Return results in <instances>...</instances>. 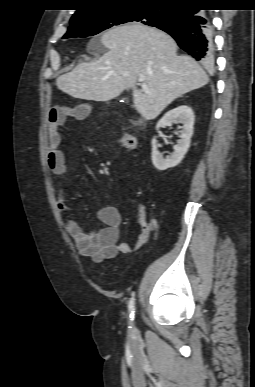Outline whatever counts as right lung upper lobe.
Wrapping results in <instances>:
<instances>
[{"label":"right lung upper lobe","mask_w":255,"mask_h":387,"mask_svg":"<svg viewBox=\"0 0 255 387\" xmlns=\"http://www.w3.org/2000/svg\"><path fill=\"white\" fill-rule=\"evenodd\" d=\"M199 0H79V9L73 14L71 21L84 18L115 7L122 6H163L177 7L198 3Z\"/></svg>","instance_id":"right-lung-upper-lobe-1"}]
</instances>
